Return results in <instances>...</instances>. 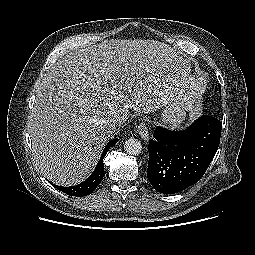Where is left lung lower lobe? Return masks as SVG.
I'll use <instances>...</instances> for the list:
<instances>
[{"instance_id":"1","label":"left lung lower lobe","mask_w":255,"mask_h":255,"mask_svg":"<svg viewBox=\"0 0 255 255\" xmlns=\"http://www.w3.org/2000/svg\"><path fill=\"white\" fill-rule=\"evenodd\" d=\"M222 122L203 115L185 130L157 127L149 142L148 180L163 194H174L197 183L212 161Z\"/></svg>"}]
</instances>
